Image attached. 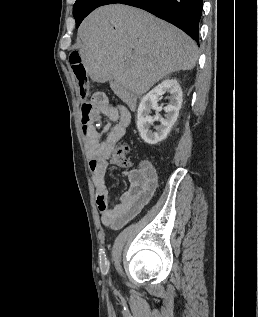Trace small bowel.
I'll return each mask as SVG.
<instances>
[{"label":"small bowel","instance_id":"obj_1","mask_svg":"<svg viewBox=\"0 0 258 317\" xmlns=\"http://www.w3.org/2000/svg\"><path fill=\"white\" fill-rule=\"evenodd\" d=\"M87 114L94 120L106 117L114 123L105 129L106 135L102 141L98 134L94 140L85 141V148L102 223L112 229H120L137 216L152 198L158 183L157 172L150 161L142 160L136 168L126 173L129 187L117 203L110 205L106 185L107 170L114 146L126 134L130 125L131 113L123 105H111L105 94L96 92L90 102L81 105V122Z\"/></svg>","mask_w":258,"mask_h":317}]
</instances>
